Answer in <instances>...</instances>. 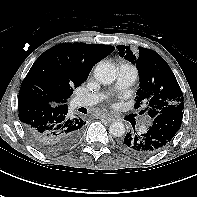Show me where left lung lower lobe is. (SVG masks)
Listing matches in <instances>:
<instances>
[{
  "label": "left lung lower lobe",
  "instance_id": "1",
  "mask_svg": "<svg viewBox=\"0 0 197 197\" xmlns=\"http://www.w3.org/2000/svg\"><path fill=\"white\" fill-rule=\"evenodd\" d=\"M183 112L180 110L156 116L144 134L129 132L119 141V147L132 156L144 158L167 146L181 127Z\"/></svg>",
  "mask_w": 197,
  "mask_h": 197
}]
</instances>
